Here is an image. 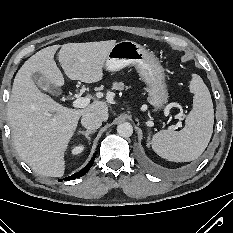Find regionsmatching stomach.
<instances>
[{
    "mask_svg": "<svg viewBox=\"0 0 233 233\" xmlns=\"http://www.w3.org/2000/svg\"><path fill=\"white\" fill-rule=\"evenodd\" d=\"M127 66H134L145 83L150 105L156 111L162 108L168 102V91L164 69L158 59L134 41L116 42L108 52L104 67L110 72H116Z\"/></svg>",
    "mask_w": 233,
    "mask_h": 233,
    "instance_id": "stomach-1",
    "label": "stomach"
}]
</instances>
